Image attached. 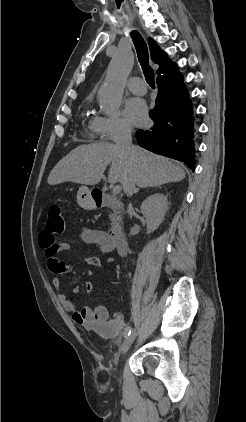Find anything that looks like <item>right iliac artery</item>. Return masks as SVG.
Listing matches in <instances>:
<instances>
[{
	"mask_svg": "<svg viewBox=\"0 0 246 422\" xmlns=\"http://www.w3.org/2000/svg\"><path fill=\"white\" fill-rule=\"evenodd\" d=\"M131 334V326L125 328L124 337H127Z\"/></svg>",
	"mask_w": 246,
	"mask_h": 422,
	"instance_id": "right-iliac-artery-1",
	"label": "right iliac artery"
}]
</instances>
